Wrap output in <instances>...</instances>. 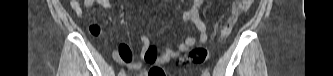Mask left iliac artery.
Masks as SVG:
<instances>
[{"mask_svg":"<svg viewBox=\"0 0 333 76\" xmlns=\"http://www.w3.org/2000/svg\"><path fill=\"white\" fill-rule=\"evenodd\" d=\"M202 75H203V76H210V74H209L208 71H203Z\"/></svg>","mask_w":333,"mask_h":76,"instance_id":"1","label":"left iliac artery"}]
</instances>
